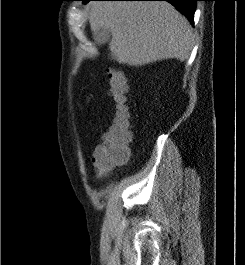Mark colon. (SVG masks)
I'll list each match as a JSON object with an SVG mask.
<instances>
[{
    "instance_id": "obj_1",
    "label": "colon",
    "mask_w": 245,
    "mask_h": 265,
    "mask_svg": "<svg viewBox=\"0 0 245 265\" xmlns=\"http://www.w3.org/2000/svg\"><path fill=\"white\" fill-rule=\"evenodd\" d=\"M108 83V93L114 101L113 121L94 152L96 165L107 171L128 160L132 140L126 78L122 71L111 68L108 71Z\"/></svg>"
}]
</instances>
